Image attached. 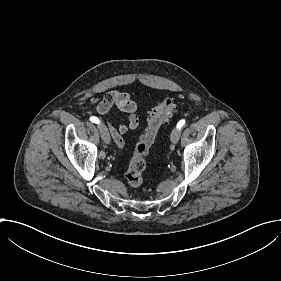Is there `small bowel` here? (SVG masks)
Returning <instances> with one entry per match:
<instances>
[{
  "instance_id": "1",
  "label": "small bowel",
  "mask_w": 281,
  "mask_h": 281,
  "mask_svg": "<svg viewBox=\"0 0 281 281\" xmlns=\"http://www.w3.org/2000/svg\"><path fill=\"white\" fill-rule=\"evenodd\" d=\"M114 107L119 108L128 116V124H118L116 127L110 126L115 142H121V135L126 134L129 130L136 129L139 125V118L136 115L138 107L127 92L121 89H112L98 104L96 111L99 115L105 116ZM119 147L123 148L124 144L120 143Z\"/></svg>"
}]
</instances>
